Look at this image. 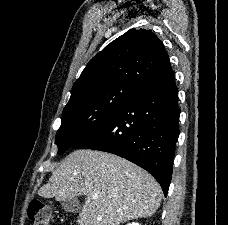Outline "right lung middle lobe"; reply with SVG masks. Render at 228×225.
I'll use <instances>...</instances> for the list:
<instances>
[{
    "instance_id": "obj_1",
    "label": "right lung middle lobe",
    "mask_w": 228,
    "mask_h": 225,
    "mask_svg": "<svg viewBox=\"0 0 228 225\" xmlns=\"http://www.w3.org/2000/svg\"><path fill=\"white\" fill-rule=\"evenodd\" d=\"M137 89L126 83H110L91 88L69 102L63 110L62 124L55 138L58 154L113 115Z\"/></svg>"
}]
</instances>
